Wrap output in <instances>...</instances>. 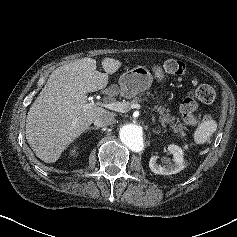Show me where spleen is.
<instances>
[{"instance_id":"1","label":"spleen","mask_w":237,"mask_h":237,"mask_svg":"<svg viewBox=\"0 0 237 237\" xmlns=\"http://www.w3.org/2000/svg\"><path fill=\"white\" fill-rule=\"evenodd\" d=\"M217 125L213 119L204 120L194 132V142L199 145L208 142L211 135L217 130Z\"/></svg>"}]
</instances>
